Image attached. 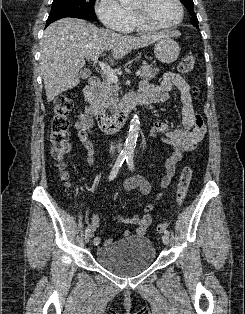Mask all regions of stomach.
I'll list each match as a JSON object with an SVG mask.
<instances>
[{"label":"stomach","instance_id":"1","mask_svg":"<svg viewBox=\"0 0 245 314\" xmlns=\"http://www.w3.org/2000/svg\"><path fill=\"white\" fill-rule=\"evenodd\" d=\"M154 53L160 62L170 64L177 60L180 47L176 41L166 37L157 41L154 47Z\"/></svg>","mask_w":245,"mask_h":314}]
</instances>
